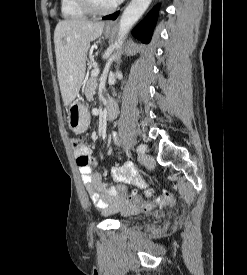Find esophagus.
Returning a JSON list of instances; mask_svg holds the SVG:
<instances>
[{
  "label": "esophagus",
  "instance_id": "34e87169",
  "mask_svg": "<svg viewBox=\"0 0 247 275\" xmlns=\"http://www.w3.org/2000/svg\"><path fill=\"white\" fill-rule=\"evenodd\" d=\"M115 23L114 22H108L107 23V27L110 28V27H114Z\"/></svg>",
  "mask_w": 247,
  "mask_h": 275
}]
</instances>
